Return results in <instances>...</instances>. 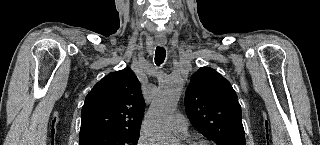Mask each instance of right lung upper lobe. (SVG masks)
I'll return each mask as SVG.
<instances>
[{
	"label": "right lung upper lobe",
	"mask_w": 320,
	"mask_h": 145,
	"mask_svg": "<svg viewBox=\"0 0 320 145\" xmlns=\"http://www.w3.org/2000/svg\"><path fill=\"white\" fill-rule=\"evenodd\" d=\"M144 114L141 84L130 68L100 80L85 99L80 137L101 132H140Z\"/></svg>",
	"instance_id": "obj_1"
}]
</instances>
